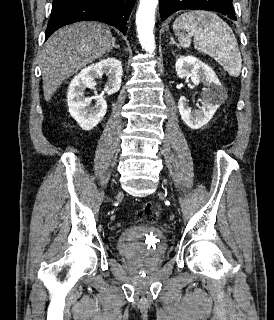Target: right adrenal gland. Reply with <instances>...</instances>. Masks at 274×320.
<instances>
[{"label": "right adrenal gland", "instance_id": "2a0ac1e0", "mask_svg": "<svg viewBox=\"0 0 274 320\" xmlns=\"http://www.w3.org/2000/svg\"><path fill=\"white\" fill-rule=\"evenodd\" d=\"M114 48H116V50H117V48H120V46H116V44H115V38H114V40H113L112 50H114Z\"/></svg>", "mask_w": 274, "mask_h": 320}]
</instances>
